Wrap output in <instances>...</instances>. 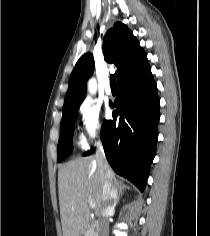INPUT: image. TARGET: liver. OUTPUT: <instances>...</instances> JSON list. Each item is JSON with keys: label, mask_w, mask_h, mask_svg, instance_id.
I'll list each match as a JSON object with an SVG mask.
<instances>
[{"label": "liver", "mask_w": 210, "mask_h": 236, "mask_svg": "<svg viewBox=\"0 0 210 236\" xmlns=\"http://www.w3.org/2000/svg\"><path fill=\"white\" fill-rule=\"evenodd\" d=\"M110 172L116 186L120 182L111 169ZM102 192V173L95 157L77 158L60 168L58 193L63 236H82L89 221L88 204L93 202L95 211L100 212Z\"/></svg>", "instance_id": "obj_1"}]
</instances>
